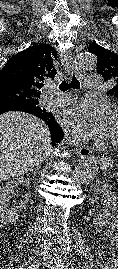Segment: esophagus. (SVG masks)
Returning a JSON list of instances; mask_svg holds the SVG:
<instances>
[{
    "label": "esophagus",
    "instance_id": "obj_1",
    "mask_svg": "<svg viewBox=\"0 0 118 269\" xmlns=\"http://www.w3.org/2000/svg\"><path fill=\"white\" fill-rule=\"evenodd\" d=\"M60 60L64 66V70L67 74H70L71 72H73L74 69H76V67L71 63L70 60L63 58V54H60ZM92 153V150L89 147H84V146H78L76 148V154L80 157V158H85L87 156H89Z\"/></svg>",
    "mask_w": 118,
    "mask_h": 269
}]
</instances>
